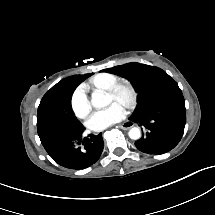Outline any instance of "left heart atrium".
<instances>
[{
  "label": "left heart atrium",
  "mask_w": 215,
  "mask_h": 215,
  "mask_svg": "<svg viewBox=\"0 0 215 215\" xmlns=\"http://www.w3.org/2000/svg\"><path fill=\"white\" fill-rule=\"evenodd\" d=\"M125 111L119 105L109 106L97 113L90 115L88 123L90 127L97 129L112 120H119L123 118Z\"/></svg>",
  "instance_id": "left-heart-atrium-1"
}]
</instances>
